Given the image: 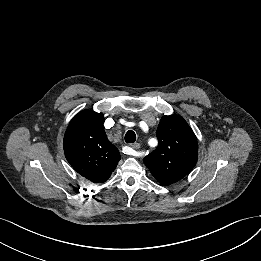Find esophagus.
Returning <instances> with one entry per match:
<instances>
[{
  "instance_id": "34e87169",
  "label": "esophagus",
  "mask_w": 261,
  "mask_h": 261,
  "mask_svg": "<svg viewBox=\"0 0 261 261\" xmlns=\"http://www.w3.org/2000/svg\"><path fill=\"white\" fill-rule=\"evenodd\" d=\"M131 147H132L133 149H139V148H140V144H139V143H133V144L131 145ZM131 155H132V156H135V157H138V156H139V155L136 154L135 152L131 153Z\"/></svg>"
}]
</instances>
